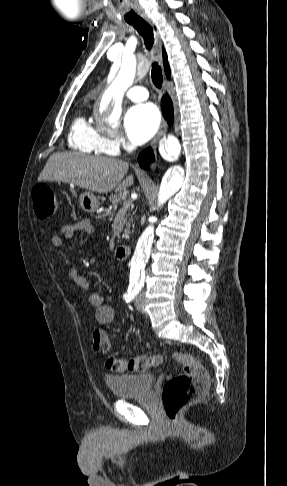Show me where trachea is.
Wrapping results in <instances>:
<instances>
[{
    "label": "trachea",
    "instance_id": "1",
    "mask_svg": "<svg viewBox=\"0 0 287 486\" xmlns=\"http://www.w3.org/2000/svg\"><path fill=\"white\" fill-rule=\"evenodd\" d=\"M128 23L131 24L138 31V33L143 36L146 48L148 50H151L153 45L152 27L142 18L129 21ZM151 78L154 85L157 88H161L163 82V76H162L161 67L158 65L157 62L152 63Z\"/></svg>",
    "mask_w": 287,
    "mask_h": 486
}]
</instances>
